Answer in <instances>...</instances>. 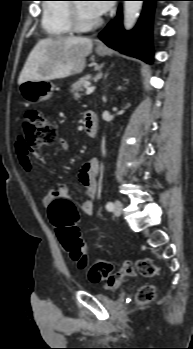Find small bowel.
Returning a JSON list of instances; mask_svg holds the SVG:
<instances>
[{"label": "small bowel", "instance_id": "1", "mask_svg": "<svg viewBox=\"0 0 193 349\" xmlns=\"http://www.w3.org/2000/svg\"><path fill=\"white\" fill-rule=\"evenodd\" d=\"M60 148L63 151H68L69 144L66 140H59ZM16 151L19 162L23 169L27 172L33 170L30 154L26 149L23 137H20L16 142ZM99 161L97 158H92L86 161L79 172V181L82 186L83 200L80 207L84 214L91 216L94 210V199L97 192V176L99 173ZM58 198L71 199L72 191L66 184H59L56 190L48 191L43 197V204H49ZM136 270L131 261H125L116 272L112 273L107 282L110 287L118 286L125 278L135 276Z\"/></svg>", "mask_w": 193, "mask_h": 349}]
</instances>
